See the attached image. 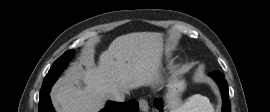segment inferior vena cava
Segmentation results:
<instances>
[{"label":"inferior vena cava","mask_w":270,"mask_h":112,"mask_svg":"<svg viewBox=\"0 0 270 112\" xmlns=\"http://www.w3.org/2000/svg\"><path fill=\"white\" fill-rule=\"evenodd\" d=\"M128 94L127 91L125 92H116L112 95V100L117 102H123L125 100V95Z\"/></svg>","instance_id":"obj_1"}]
</instances>
